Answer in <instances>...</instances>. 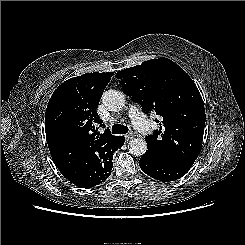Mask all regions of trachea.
<instances>
[{"mask_svg": "<svg viewBox=\"0 0 245 245\" xmlns=\"http://www.w3.org/2000/svg\"><path fill=\"white\" fill-rule=\"evenodd\" d=\"M128 127L121 124H114L112 126L113 134H126L128 132Z\"/></svg>", "mask_w": 245, "mask_h": 245, "instance_id": "1", "label": "trachea"}]
</instances>
